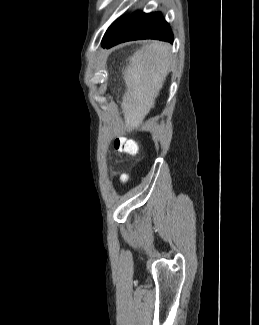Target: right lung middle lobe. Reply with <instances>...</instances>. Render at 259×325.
<instances>
[{
    "instance_id": "1",
    "label": "right lung middle lobe",
    "mask_w": 259,
    "mask_h": 325,
    "mask_svg": "<svg viewBox=\"0 0 259 325\" xmlns=\"http://www.w3.org/2000/svg\"><path fill=\"white\" fill-rule=\"evenodd\" d=\"M123 20V18H119L117 19L109 28L108 30L106 31L104 37H103V41L107 40L113 33L114 31L117 29L118 25L121 23V21Z\"/></svg>"
}]
</instances>
